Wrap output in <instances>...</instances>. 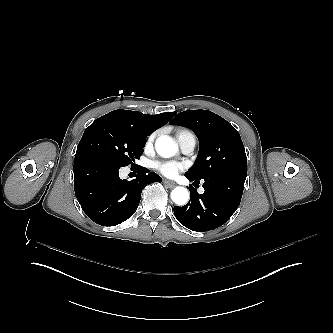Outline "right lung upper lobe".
<instances>
[{"label":"right lung upper lobe","instance_id":"right-lung-upper-lobe-1","mask_svg":"<svg viewBox=\"0 0 333 333\" xmlns=\"http://www.w3.org/2000/svg\"><path fill=\"white\" fill-rule=\"evenodd\" d=\"M176 112L145 115L138 111L118 109L98 119H110L137 131L146 137L153 131L165 125Z\"/></svg>","mask_w":333,"mask_h":333}]
</instances>
